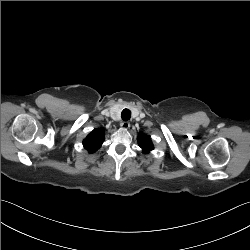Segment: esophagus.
Instances as JSON below:
<instances>
[{
    "instance_id": "obj_1",
    "label": "esophagus",
    "mask_w": 250,
    "mask_h": 250,
    "mask_svg": "<svg viewBox=\"0 0 250 250\" xmlns=\"http://www.w3.org/2000/svg\"><path fill=\"white\" fill-rule=\"evenodd\" d=\"M122 129H128L130 127V123L127 121H123L120 123Z\"/></svg>"
}]
</instances>
